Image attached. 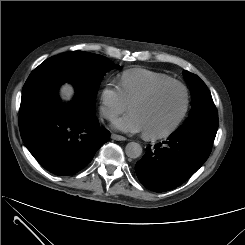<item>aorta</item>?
I'll return each mask as SVG.
<instances>
[{"mask_svg":"<svg viewBox=\"0 0 245 245\" xmlns=\"http://www.w3.org/2000/svg\"><path fill=\"white\" fill-rule=\"evenodd\" d=\"M125 153L129 158H138L142 154V147L137 142H129L125 147Z\"/></svg>","mask_w":245,"mask_h":245,"instance_id":"obj_1","label":"aorta"}]
</instances>
